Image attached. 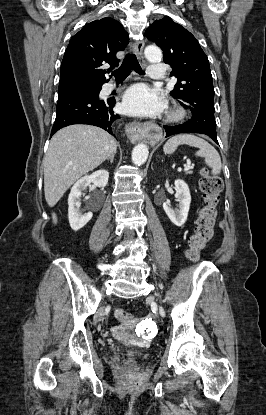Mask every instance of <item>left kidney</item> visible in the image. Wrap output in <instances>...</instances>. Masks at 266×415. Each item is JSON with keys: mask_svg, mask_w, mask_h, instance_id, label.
I'll list each match as a JSON object with an SVG mask.
<instances>
[{"mask_svg": "<svg viewBox=\"0 0 266 415\" xmlns=\"http://www.w3.org/2000/svg\"><path fill=\"white\" fill-rule=\"evenodd\" d=\"M176 200L179 202L178 209H172L167 203L163 204V209L171 222L176 226H182L188 216L191 195L188 185L181 179L175 181Z\"/></svg>", "mask_w": 266, "mask_h": 415, "instance_id": "5707ae66", "label": "left kidney"}]
</instances>
